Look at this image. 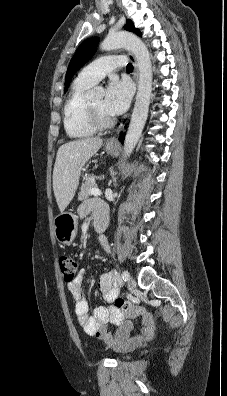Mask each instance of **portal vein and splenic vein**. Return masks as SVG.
Returning a JSON list of instances; mask_svg holds the SVG:
<instances>
[{
	"mask_svg": "<svg viewBox=\"0 0 227 396\" xmlns=\"http://www.w3.org/2000/svg\"><path fill=\"white\" fill-rule=\"evenodd\" d=\"M90 194L94 196H99L101 195V191L98 188H92L90 189Z\"/></svg>",
	"mask_w": 227,
	"mask_h": 396,
	"instance_id": "1",
	"label": "portal vein and splenic vein"
}]
</instances>
